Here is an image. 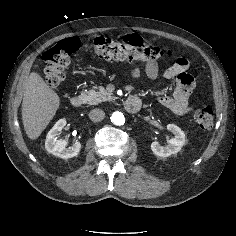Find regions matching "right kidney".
Here are the masks:
<instances>
[{"label":"right kidney","mask_w":236,"mask_h":236,"mask_svg":"<svg viewBox=\"0 0 236 236\" xmlns=\"http://www.w3.org/2000/svg\"><path fill=\"white\" fill-rule=\"evenodd\" d=\"M66 125L65 119H60L48 132L45 141V149L48 153H51L62 159L73 158L78 155L81 149L80 142H74L71 147L67 148V141L63 139H57V135Z\"/></svg>","instance_id":"1"}]
</instances>
